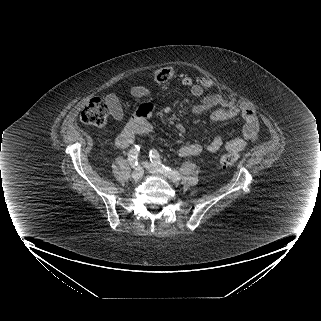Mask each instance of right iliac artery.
<instances>
[{"mask_svg":"<svg viewBox=\"0 0 321 321\" xmlns=\"http://www.w3.org/2000/svg\"><path fill=\"white\" fill-rule=\"evenodd\" d=\"M140 152V147L138 145H135L128 153V161L132 167H135L138 165V155Z\"/></svg>","mask_w":321,"mask_h":321,"instance_id":"82829eb1","label":"right iliac artery"}]
</instances>
